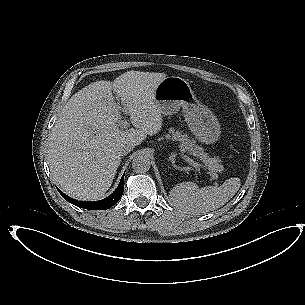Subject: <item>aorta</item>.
Instances as JSON below:
<instances>
[{"instance_id":"1","label":"aorta","mask_w":305,"mask_h":305,"mask_svg":"<svg viewBox=\"0 0 305 305\" xmlns=\"http://www.w3.org/2000/svg\"><path fill=\"white\" fill-rule=\"evenodd\" d=\"M150 157L148 154H137L132 160V169L137 173H145L150 169Z\"/></svg>"}]
</instances>
